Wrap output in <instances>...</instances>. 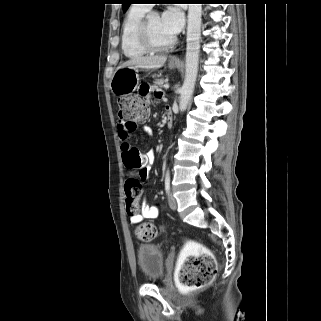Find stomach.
I'll list each match as a JSON object with an SVG mask.
<instances>
[{"instance_id": "stomach-1", "label": "stomach", "mask_w": 321, "mask_h": 321, "mask_svg": "<svg viewBox=\"0 0 321 321\" xmlns=\"http://www.w3.org/2000/svg\"><path fill=\"white\" fill-rule=\"evenodd\" d=\"M177 63L169 62L168 67L174 69ZM139 85L138 69L134 67L118 68L110 82L111 91L115 95L125 96L133 92Z\"/></svg>"}]
</instances>
